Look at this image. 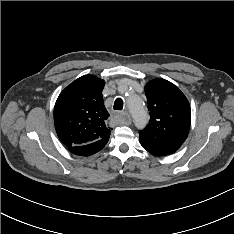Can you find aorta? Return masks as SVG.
Here are the masks:
<instances>
[{"mask_svg": "<svg viewBox=\"0 0 234 234\" xmlns=\"http://www.w3.org/2000/svg\"><path fill=\"white\" fill-rule=\"evenodd\" d=\"M127 105L136 127L138 129L144 128L148 121V114L141 97L135 94L129 95L127 97Z\"/></svg>", "mask_w": 234, "mask_h": 234, "instance_id": "762f6f07", "label": "aorta"}]
</instances>
